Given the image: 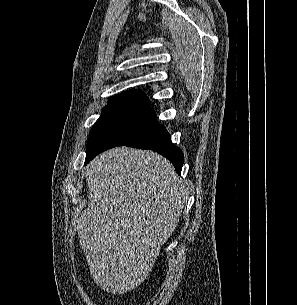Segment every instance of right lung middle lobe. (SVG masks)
<instances>
[{"label":"right lung middle lobe","instance_id":"right-lung-middle-lobe-1","mask_svg":"<svg viewBox=\"0 0 297 305\" xmlns=\"http://www.w3.org/2000/svg\"><path fill=\"white\" fill-rule=\"evenodd\" d=\"M145 100L120 99L108 106L90 132L86 161L96 151L123 145L158 124L156 113Z\"/></svg>","mask_w":297,"mask_h":305}]
</instances>
